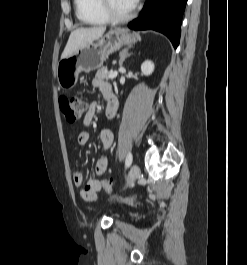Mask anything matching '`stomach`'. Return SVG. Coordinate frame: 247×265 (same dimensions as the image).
Masks as SVG:
<instances>
[{"mask_svg": "<svg viewBox=\"0 0 247 265\" xmlns=\"http://www.w3.org/2000/svg\"><path fill=\"white\" fill-rule=\"evenodd\" d=\"M136 42V36L125 29H114L102 36L97 42H90L80 47L70 56L61 59L57 64L56 77L64 90L72 89L79 73L90 72L100 68L110 54L123 45L131 46Z\"/></svg>", "mask_w": 247, "mask_h": 265, "instance_id": "0dacf381", "label": "stomach"}]
</instances>
